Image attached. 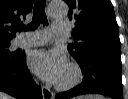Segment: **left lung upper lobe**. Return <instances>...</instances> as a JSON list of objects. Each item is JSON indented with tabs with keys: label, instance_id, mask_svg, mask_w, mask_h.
<instances>
[{
	"label": "left lung upper lobe",
	"instance_id": "left-lung-upper-lobe-1",
	"mask_svg": "<svg viewBox=\"0 0 128 99\" xmlns=\"http://www.w3.org/2000/svg\"><path fill=\"white\" fill-rule=\"evenodd\" d=\"M66 3L69 5V19L75 20L74 41L68 45V51L76 61H81L93 49H121L110 0H66Z\"/></svg>",
	"mask_w": 128,
	"mask_h": 99
}]
</instances>
